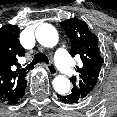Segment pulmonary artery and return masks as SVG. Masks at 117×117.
<instances>
[{"mask_svg":"<svg viewBox=\"0 0 117 117\" xmlns=\"http://www.w3.org/2000/svg\"><path fill=\"white\" fill-rule=\"evenodd\" d=\"M56 61L60 70L65 75H70L72 73V68L69 62L67 51L64 47H59L56 51Z\"/></svg>","mask_w":117,"mask_h":117,"instance_id":"e3ab8cb5","label":"pulmonary artery"}]
</instances>
